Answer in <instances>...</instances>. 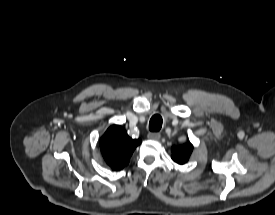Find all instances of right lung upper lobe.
<instances>
[{
	"instance_id": "right-lung-upper-lobe-1",
	"label": "right lung upper lobe",
	"mask_w": 275,
	"mask_h": 215,
	"mask_svg": "<svg viewBox=\"0 0 275 215\" xmlns=\"http://www.w3.org/2000/svg\"><path fill=\"white\" fill-rule=\"evenodd\" d=\"M140 139H132L120 125H113L100 139V148L106 163L113 170H120L129 163Z\"/></svg>"
}]
</instances>
